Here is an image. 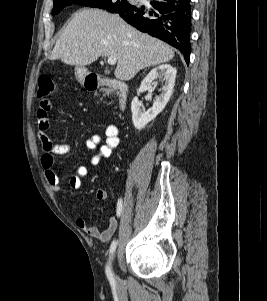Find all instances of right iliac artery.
Returning <instances> with one entry per match:
<instances>
[{"label": "right iliac artery", "instance_id": "1", "mask_svg": "<svg viewBox=\"0 0 267 301\" xmlns=\"http://www.w3.org/2000/svg\"><path fill=\"white\" fill-rule=\"evenodd\" d=\"M117 208H118V216H120L121 211H122V201L121 200H118ZM116 246H117V241L113 240L110 245V249H109V252L111 254L115 251ZM106 275H107V278H108L110 284H112V285L115 284V279L113 277V273L111 271L109 264H107V266H106Z\"/></svg>", "mask_w": 267, "mask_h": 301}]
</instances>
